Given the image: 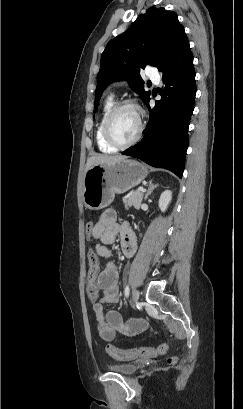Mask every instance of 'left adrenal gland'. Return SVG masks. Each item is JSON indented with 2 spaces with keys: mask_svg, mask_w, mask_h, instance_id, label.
Returning a JSON list of instances; mask_svg holds the SVG:
<instances>
[{
  "mask_svg": "<svg viewBox=\"0 0 243 409\" xmlns=\"http://www.w3.org/2000/svg\"><path fill=\"white\" fill-rule=\"evenodd\" d=\"M157 186H158V184H155V185H154L152 180L149 181V187H148L147 193L145 194V199H147V198L150 196V194L152 193V191H153Z\"/></svg>",
  "mask_w": 243,
  "mask_h": 409,
  "instance_id": "obj_1",
  "label": "left adrenal gland"
}]
</instances>
